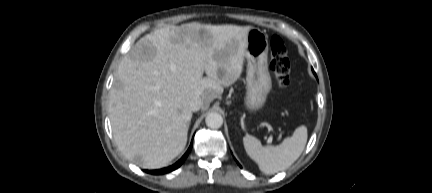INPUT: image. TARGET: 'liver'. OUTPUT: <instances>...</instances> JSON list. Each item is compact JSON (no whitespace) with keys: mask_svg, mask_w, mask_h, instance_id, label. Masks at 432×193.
Listing matches in <instances>:
<instances>
[{"mask_svg":"<svg viewBox=\"0 0 432 193\" xmlns=\"http://www.w3.org/2000/svg\"><path fill=\"white\" fill-rule=\"evenodd\" d=\"M251 29L192 22L166 26L137 41L109 93L114 141L128 160L158 169L184 150L192 98L199 96L207 110L224 87L237 81Z\"/></svg>","mask_w":432,"mask_h":193,"instance_id":"1","label":"liver"}]
</instances>
